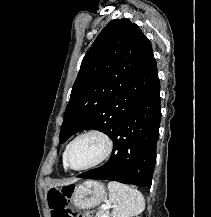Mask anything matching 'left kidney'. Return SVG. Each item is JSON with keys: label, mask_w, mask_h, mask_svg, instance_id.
Wrapping results in <instances>:
<instances>
[{"label": "left kidney", "mask_w": 211, "mask_h": 217, "mask_svg": "<svg viewBox=\"0 0 211 217\" xmlns=\"http://www.w3.org/2000/svg\"><path fill=\"white\" fill-rule=\"evenodd\" d=\"M103 217H109V216H107V215H104Z\"/></svg>", "instance_id": "1"}]
</instances>
